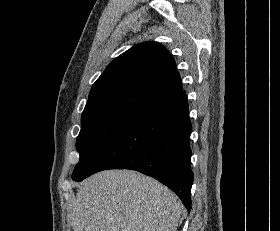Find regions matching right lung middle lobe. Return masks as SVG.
<instances>
[{
	"instance_id": "dd1d6c3e",
	"label": "right lung middle lobe",
	"mask_w": 280,
	"mask_h": 231,
	"mask_svg": "<svg viewBox=\"0 0 280 231\" xmlns=\"http://www.w3.org/2000/svg\"><path fill=\"white\" fill-rule=\"evenodd\" d=\"M136 123L127 118L81 119V131L76 140L80 160L71 177L79 175L104 147Z\"/></svg>"
}]
</instances>
